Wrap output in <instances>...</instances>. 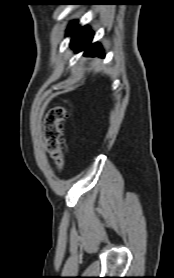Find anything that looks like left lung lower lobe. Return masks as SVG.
I'll return each mask as SVG.
<instances>
[{"instance_id": "obj_1", "label": "left lung lower lobe", "mask_w": 174, "mask_h": 278, "mask_svg": "<svg viewBox=\"0 0 174 278\" xmlns=\"http://www.w3.org/2000/svg\"><path fill=\"white\" fill-rule=\"evenodd\" d=\"M69 34L72 35L71 47L75 52L86 49L84 53L85 56L104 57L101 45L97 43L90 45L93 33L86 26L78 28L77 22H72Z\"/></svg>"}]
</instances>
